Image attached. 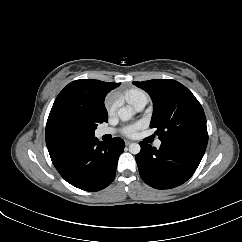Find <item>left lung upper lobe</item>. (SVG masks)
Instances as JSON below:
<instances>
[{"label":"left lung upper lobe","mask_w":242,"mask_h":242,"mask_svg":"<svg viewBox=\"0 0 242 242\" xmlns=\"http://www.w3.org/2000/svg\"><path fill=\"white\" fill-rule=\"evenodd\" d=\"M152 98L150 123L162 143L173 146L197 145L206 148L208 133L201 104L185 86L175 80L133 82Z\"/></svg>","instance_id":"1"}]
</instances>
